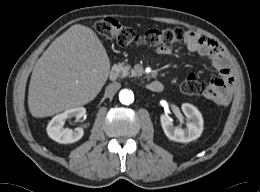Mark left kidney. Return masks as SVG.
Masks as SVG:
<instances>
[{"mask_svg": "<svg viewBox=\"0 0 260 192\" xmlns=\"http://www.w3.org/2000/svg\"><path fill=\"white\" fill-rule=\"evenodd\" d=\"M182 111L189 120L186 128L174 127L172 119L167 115H161L160 121L165 135L175 142H191L199 138L203 131V118L199 110L189 104L183 103Z\"/></svg>", "mask_w": 260, "mask_h": 192, "instance_id": "1", "label": "left kidney"}]
</instances>
